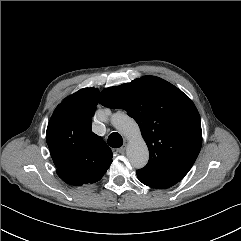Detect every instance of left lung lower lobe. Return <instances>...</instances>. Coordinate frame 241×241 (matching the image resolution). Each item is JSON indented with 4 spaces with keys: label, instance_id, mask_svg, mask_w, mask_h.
I'll return each mask as SVG.
<instances>
[{
    "label": "left lung lower lobe",
    "instance_id": "left-lung-lower-lobe-1",
    "mask_svg": "<svg viewBox=\"0 0 241 241\" xmlns=\"http://www.w3.org/2000/svg\"><path fill=\"white\" fill-rule=\"evenodd\" d=\"M138 179L145 185L157 189H166L177 183V181L165 178L163 176L148 172L144 169L137 170Z\"/></svg>",
    "mask_w": 241,
    "mask_h": 241
}]
</instances>
